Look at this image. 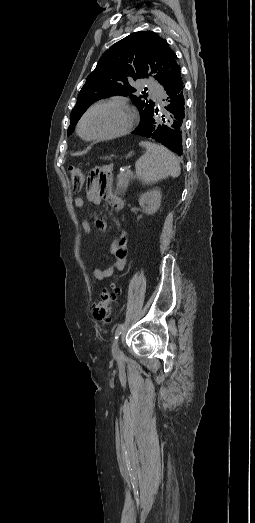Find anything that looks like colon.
<instances>
[{"instance_id":"5ec220e1","label":"colon","mask_w":255,"mask_h":523,"mask_svg":"<svg viewBox=\"0 0 255 523\" xmlns=\"http://www.w3.org/2000/svg\"><path fill=\"white\" fill-rule=\"evenodd\" d=\"M69 176L75 190H80L85 181V173L79 167H70ZM118 296V288L111 285L102 290L99 298L95 301L92 309L93 317L101 323H109L115 309V302Z\"/></svg>"}]
</instances>
